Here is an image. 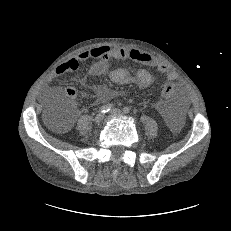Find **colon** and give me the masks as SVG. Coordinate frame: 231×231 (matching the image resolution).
I'll return each instance as SVG.
<instances>
[{
  "label": "colon",
  "mask_w": 231,
  "mask_h": 231,
  "mask_svg": "<svg viewBox=\"0 0 231 231\" xmlns=\"http://www.w3.org/2000/svg\"><path fill=\"white\" fill-rule=\"evenodd\" d=\"M163 96L166 100L168 101H174L178 98L179 96V88L177 86V84L174 81L168 80L165 81L162 84L161 87ZM76 92L74 89H67L64 93V96L67 98H73L75 96ZM61 102V98L60 97H54L51 100V105L48 108V119L51 122H56V121H65L67 124V121L69 120V118L71 117V115L68 113V111L63 107H58L56 108L54 105H59Z\"/></svg>",
  "instance_id": "colon-1"
}]
</instances>
